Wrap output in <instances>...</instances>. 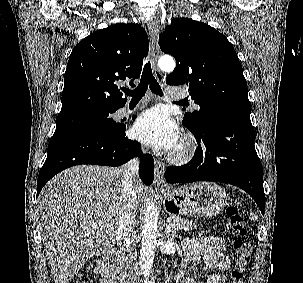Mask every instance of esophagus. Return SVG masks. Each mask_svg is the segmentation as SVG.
<instances>
[{"mask_svg":"<svg viewBox=\"0 0 303 283\" xmlns=\"http://www.w3.org/2000/svg\"><path fill=\"white\" fill-rule=\"evenodd\" d=\"M148 29H149L150 41H151L150 44H151L152 68H153V71H154V74H155L157 80L162 81L163 76L157 66V60L159 57V45H158L159 28H158L157 22L155 20H150L148 22ZM154 164H155L154 182L158 185H161L164 183L163 176H164V171H165V165L158 159H155Z\"/></svg>","mask_w":303,"mask_h":283,"instance_id":"obj_1","label":"esophagus"}]
</instances>
